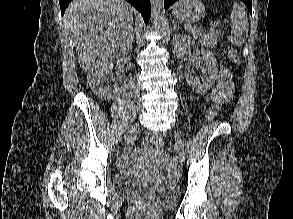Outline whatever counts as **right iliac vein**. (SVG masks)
<instances>
[{
  "label": "right iliac vein",
  "instance_id": "63e3f726",
  "mask_svg": "<svg viewBox=\"0 0 293 219\" xmlns=\"http://www.w3.org/2000/svg\"><path fill=\"white\" fill-rule=\"evenodd\" d=\"M138 130H139V124H138V123H135V124L131 127V129H130V135H132V134L138 132Z\"/></svg>",
  "mask_w": 293,
  "mask_h": 219
}]
</instances>
